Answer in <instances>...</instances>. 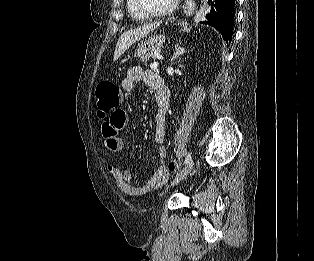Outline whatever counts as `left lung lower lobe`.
<instances>
[{
    "mask_svg": "<svg viewBox=\"0 0 314 261\" xmlns=\"http://www.w3.org/2000/svg\"><path fill=\"white\" fill-rule=\"evenodd\" d=\"M214 8L207 15L208 21L201 23L216 28L228 43L233 35V21L235 16V0H215Z\"/></svg>",
    "mask_w": 314,
    "mask_h": 261,
    "instance_id": "0a47b994",
    "label": "left lung lower lobe"
}]
</instances>
